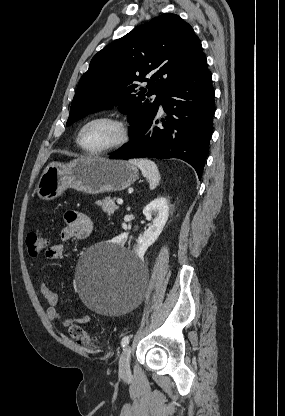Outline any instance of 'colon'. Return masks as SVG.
Segmentation results:
<instances>
[{
  "mask_svg": "<svg viewBox=\"0 0 285 416\" xmlns=\"http://www.w3.org/2000/svg\"><path fill=\"white\" fill-rule=\"evenodd\" d=\"M28 253L31 257L39 256L47 247V240L39 233H30L26 238ZM70 337L79 344L87 347L99 345V339L88 334L81 326L73 324L69 327Z\"/></svg>",
  "mask_w": 285,
  "mask_h": 416,
  "instance_id": "colon-1",
  "label": "colon"
}]
</instances>
